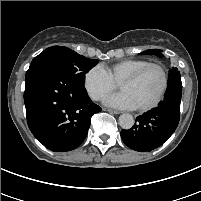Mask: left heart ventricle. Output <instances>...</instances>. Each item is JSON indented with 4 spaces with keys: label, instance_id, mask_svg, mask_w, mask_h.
<instances>
[{
    "label": "left heart ventricle",
    "instance_id": "1",
    "mask_svg": "<svg viewBox=\"0 0 201 201\" xmlns=\"http://www.w3.org/2000/svg\"><path fill=\"white\" fill-rule=\"evenodd\" d=\"M162 75L157 68L145 71L136 81L120 87L132 99L136 107L153 101L162 86Z\"/></svg>",
    "mask_w": 201,
    "mask_h": 201
}]
</instances>
